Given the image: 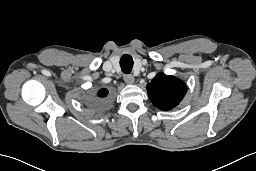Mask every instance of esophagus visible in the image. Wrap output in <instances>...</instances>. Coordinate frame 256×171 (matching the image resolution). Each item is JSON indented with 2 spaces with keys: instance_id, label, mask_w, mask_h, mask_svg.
<instances>
[{
  "instance_id": "esophagus-1",
  "label": "esophagus",
  "mask_w": 256,
  "mask_h": 171,
  "mask_svg": "<svg viewBox=\"0 0 256 171\" xmlns=\"http://www.w3.org/2000/svg\"><path fill=\"white\" fill-rule=\"evenodd\" d=\"M124 81L128 84H133L135 82V78L133 75H130V74H127V75H124Z\"/></svg>"
}]
</instances>
